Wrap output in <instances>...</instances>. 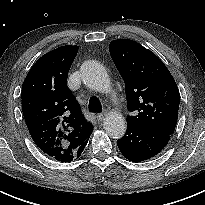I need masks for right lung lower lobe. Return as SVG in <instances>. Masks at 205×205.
Segmentation results:
<instances>
[{"label": "right lung lower lobe", "instance_id": "right-lung-lower-lobe-1", "mask_svg": "<svg viewBox=\"0 0 205 205\" xmlns=\"http://www.w3.org/2000/svg\"><path fill=\"white\" fill-rule=\"evenodd\" d=\"M87 142H88V140L82 146H80V148L77 151L76 158L81 155V153H82L83 149L85 148Z\"/></svg>", "mask_w": 205, "mask_h": 205}]
</instances>
